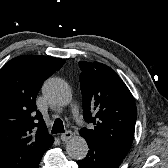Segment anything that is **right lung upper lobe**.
Wrapping results in <instances>:
<instances>
[{
  "label": "right lung upper lobe",
  "mask_w": 168,
  "mask_h": 168,
  "mask_svg": "<svg viewBox=\"0 0 168 168\" xmlns=\"http://www.w3.org/2000/svg\"><path fill=\"white\" fill-rule=\"evenodd\" d=\"M63 59L24 55L0 69V168H37L54 139L36 110L43 81Z\"/></svg>",
  "instance_id": "1"
}]
</instances>
